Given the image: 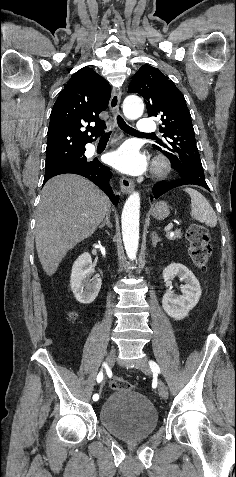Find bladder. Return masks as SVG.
Masks as SVG:
<instances>
[{"label": "bladder", "instance_id": "obj_1", "mask_svg": "<svg viewBox=\"0 0 236 477\" xmlns=\"http://www.w3.org/2000/svg\"><path fill=\"white\" fill-rule=\"evenodd\" d=\"M102 426L123 440L148 438L158 426V413L150 400L135 390H115L99 406Z\"/></svg>", "mask_w": 236, "mask_h": 477}]
</instances>
